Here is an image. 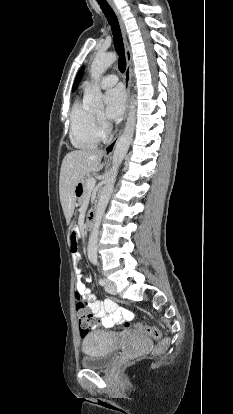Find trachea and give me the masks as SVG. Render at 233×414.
Listing matches in <instances>:
<instances>
[{
    "instance_id": "3493384b",
    "label": "trachea",
    "mask_w": 233,
    "mask_h": 414,
    "mask_svg": "<svg viewBox=\"0 0 233 414\" xmlns=\"http://www.w3.org/2000/svg\"><path fill=\"white\" fill-rule=\"evenodd\" d=\"M98 4L100 5V8L102 9L105 17L108 20L109 25L111 26L112 34H113V40H114V46L115 51L119 55V61H118V68L120 72H124L126 69V59L124 56V45H123V39L121 35L120 26L117 20V17L111 8V6L108 4L106 0H97Z\"/></svg>"
}]
</instances>
